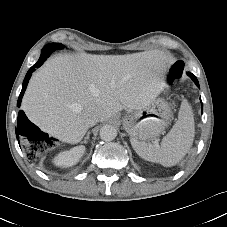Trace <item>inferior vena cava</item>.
<instances>
[{"mask_svg":"<svg viewBox=\"0 0 227 227\" xmlns=\"http://www.w3.org/2000/svg\"><path fill=\"white\" fill-rule=\"evenodd\" d=\"M99 121V115L96 112H90L86 116V123L87 125L94 126Z\"/></svg>","mask_w":227,"mask_h":227,"instance_id":"obj_1","label":"inferior vena cava"}]
</instances>
